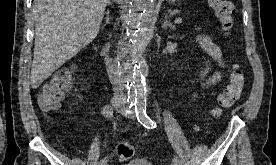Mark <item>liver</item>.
<instances>
[{
  "mask_svg": "<svg viewBox=\"0 0 276 165\" xmlns=\"http://www.w3.org/2000/svg\"><path fill=\"white\" fill-rule=\"evenodd\" d=\"M110 0H35V47L30 83L39 87L98 35Z\"/></svg>",
  "mask_w": 276,
  "mask_h": 165,
  "instance_id": "obj_1",
  "label": "liver"
}]
</instances>
